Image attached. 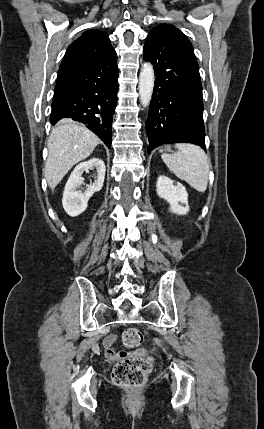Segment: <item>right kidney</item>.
Wrapping results in <instances>:
<instances>
[{
    "label": "right kidney",
    "mask_w": 264,
    "mask_h": 429,
    "mask_svg": "<svg viewBox=\"0 0 264 429\" xmlns=\"http://www.w3.org/2000/svg\"><path fill=\"white\" fill-rule=\"evenodd\" d=\"M93 169H96L97 174L95 181L87 185L86 190H79L84 182V178L82 177L83 172ZM105 171V164L99 158H92L78 164L74 168L65 185L62 199L63 208L69 216L76 217L86 210L88 200L103 187Z\"/></svg>",
    "instance_id": "obj_1"
}]
</instances>
